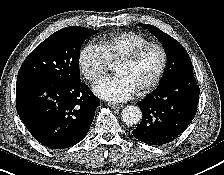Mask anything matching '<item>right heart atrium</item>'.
<instances>
[{"instance_id":"obj_1","label":"right heart atrium","mask_w":224,"mask_h":175,"mask_svg":"<svg viewBox=\"0 0 224 175\" xmlns=\"http://www.w3.org/2000/svg\"><path fill=\"white\" fill-rule=\"evenodd\" d=\"M79 65L83 75L91 83L98 82L109 68V60L100 46L86 44L79 54Z\"/></svg>"}]
</instances>
